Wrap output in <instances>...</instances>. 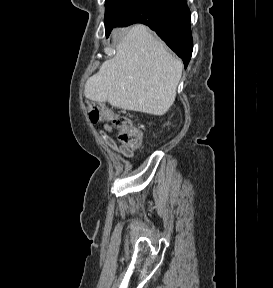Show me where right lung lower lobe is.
<instances>
[{
	"label": "right lung lower lobe",
	"mask_w": 273,
	"mask_h": 288,
	"mask_svg": "<svg viewBox=\"0 0 273 288\" xmlns=\"http://www.w3.org/2000/svg\"><path fill=\"white\" fill-rule=\"evenodd\" d=\"M134 23L145 24L154 30L183 60L185 68L187 67L192 55L193 41L190 10L186 0H137L113 27Z\"/></svg>",
	"instance_id": "right-lung-lower-lobe-1"
}]
</instances>
